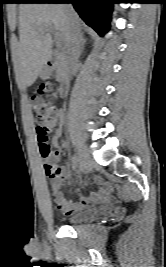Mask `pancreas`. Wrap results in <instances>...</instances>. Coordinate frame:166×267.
Wrapping results in <instances>:
<instances>
[{
  "mask_svg": "<svg viewBox=\"0 0 166 267\" xmlns=\"http://www.w3.org/2000/svg\"><path fill=\"white\" fill-rule=\"evenodd\" d=\"M69 72V63L64 54L60 53L57 56L56 77L59 79Z\"/></svg>",
  "mask_w": 166,
  "mask_h": 267,
  "instance_id": "pancreas-1",
  "label": "pancreas"
}]
</instances>
